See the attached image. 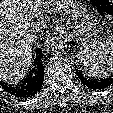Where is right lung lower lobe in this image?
<instances>
[{"label": "right lung lower lobe", "instance_id": "obj_1", "mask_svg": "<svg viewBox=\"0 0 113 113\" xmlns=\"http://www.w3.org/2000/svg\"><path fill=\"white\" fill-rule=\"evenodd\" d=\"M42 50L37 48L35 51L34 68L30 70L24 81L17 85H10L0 82V85L11 95L20 98H29L34 96L42 87L44 81V66L42 64Z\"/></svg>", "mask_w": 113, "mask_h": 113}]
</instances>
